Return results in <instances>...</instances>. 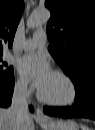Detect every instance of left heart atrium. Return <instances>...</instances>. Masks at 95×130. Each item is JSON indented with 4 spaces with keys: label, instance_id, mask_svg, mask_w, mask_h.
Here are the masks:
<instances>
[{
    "label": "left heart atrium",
    "instance_id": "left-heart-atrium-1",
    "mask_svg": "<svg viewBox=\"0 0 95 130\" xmlns=\"http://www.w3.org/2000/svg\"><path fill=\"white\" fill-rule=\"evenodd\" d=\"M20 74L33 82L39 89L47 82L52 74L46 57L38 54L24 56L19 62Z\"/></svg>",
    "mask_w": 95,
    "mask_h": 130
}]
</instances>
